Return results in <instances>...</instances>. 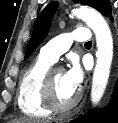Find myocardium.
<instances>
[{
    "instance_id": "f54148a6",
    "label": "myocardium",
    "mask_w": 118,
    "mask_h": 123,
    "mask_svg": "<svg viewBox=\"0 0 118 123\" xmlns=\"http://www.w3.org/2000/svg\"><path fill=\"white\" fill-rule=\"evenodd\" d=\"M56 72H63L60 67H50L42 81V101L44 106L54 113H65L74 108L81 100V91H77L73 99L67 104H60L54 95L53 77Z\"/></svg>"
}]
</instances>
